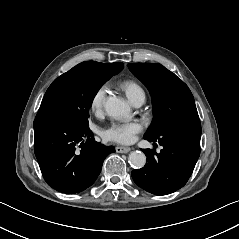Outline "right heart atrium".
<instances>
[{
  "label": "right heart atrium",
  "mask_w": 239,
  "mask_h": 239,
  "mask_svg": "<svg viewBox=\"0 0 239 239\" xmlns=\"http://www.w3.org/2000/svg\"><path fill=\"white\" fill-rule=\"evenodd\" d=\"M108 91V85L102 84L93 92L90 98V110L92 113H98L104 109L105 98Z\"/></svg>",
  "instance_id": "d8ad5b80"
}]
</instances>
